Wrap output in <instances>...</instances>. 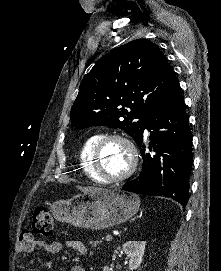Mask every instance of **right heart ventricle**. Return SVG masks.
<instances>
[{
  "label": "right heart ventricle",
  "instance_id": "obj_1",
  "mask_svg": "<svg viewBox=\"0 0 221 271\" xmlns=\"http://www.w3.org/2000/svg\"><path fill=\"white\" fill-rule=\"evenodd\" d=\"M98 134L93 133L88 135L81 143L79 151V161L80 165L83 162V171L86 179H93L97 183H108V178H102L99 171H94L96 167L95 158L92 157V149H94V144L97 142ZM96 148V147H95Z\"/></svg>",
  "mask_w": 221,
  "mask_h": 271
}]
</instances>
